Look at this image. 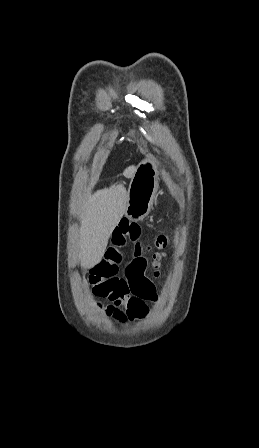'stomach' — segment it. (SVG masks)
<instances>
[{"mask_svg": "<svg viewBox=\"0 0 259 448\" xmlns=\"http://www.w3.org/2000/svg\"><path fill=\"white\" fill-rule=\"evenodd\" d=\"M158 190V168L152 158H145L131 178L127 196L126 216L129 220H143L148 216Z\"/></svg>", "mask_w": 259, "mask_h": 448, "instance_id": "stomach-1", "label": "stomach"}]
</instances>
